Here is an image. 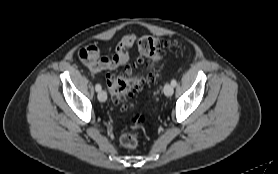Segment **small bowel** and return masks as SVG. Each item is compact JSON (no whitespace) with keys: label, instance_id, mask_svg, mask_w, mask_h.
Instances as JSON below:
<instances>
[{"label":"small bowel","instance_id":"c3829d8e","mask_svg":"<svg viewBox=\"0 0 278 174\" xmlns=\"http://www.w3.org/2000/svg\"><path fill=\"white\" fill-rule=\"evenodd\" d=\"M135 41L134 33L125 34L117 44L112 57H101L97 46L90 44L79 51V58L92 74L97 75L103 71L115 70L129 61L130 51Z\"/></svg>","mask_w":278,"mask_h":174}]
</instances>
